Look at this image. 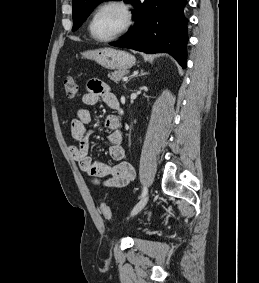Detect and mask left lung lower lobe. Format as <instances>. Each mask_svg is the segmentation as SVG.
<instances>
[{
	"label": "left lung lower lobe",
	"mask_w": 259,
	"mask_h": 283,
	"mask_svg": "<svg viewBox=\"0 0 259 283\" xmlns=\"http://www.w3.org/2000/svg\"><path fill=\"white\" fill-rule=\"evenodd\" d=\"M136 22L125 36L110 45L143 51L166 52L186 67V0H134Z\"/></svg>",
	"instance_id": "obj_1"
}]
</instances>
